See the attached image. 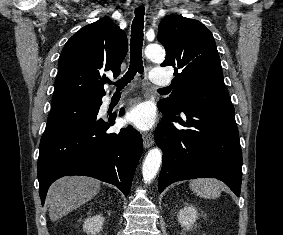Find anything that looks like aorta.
Instances as JSON below:
<instances>
[{"label":"aorta","instance_id":"obj_1","mask_svg":"<svg viewBox=\"0 0 283 235\" xmlns=\"http://www.w3.org/2000/svg\"><path fill=\"white\" fill-rule=\"evenodd\" d=\"M145 55L151 60H163L165 58V51L158 44L148 45L145 49ZM162 162V152L159 148L151 149L142 167V175L145 183H150L157 175Z\"/></svg>","mask_w":283,"mask_h":235}]
</instances>
